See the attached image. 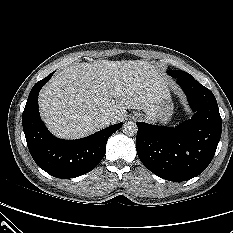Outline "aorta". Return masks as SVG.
<instances>
[{"label":"aorta","instance_id":"1","mask_svg":"<svg viewBox=\"0 0 233 233\" xmlns=\"http://www.w3.org/2000/svg\"><path fill=\"white\" fill-rule=\"evenodd\" d=\"M122 131L127 136H134L137 133L138 128L134 122L128 121L123 124Z\"/></svg>","mask_w":233,"mask_h":233}]
</instances>
